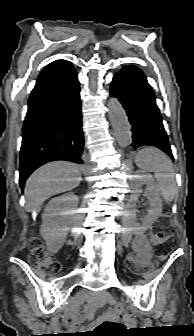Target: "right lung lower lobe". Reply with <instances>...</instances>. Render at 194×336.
Masks as SVG:
<instances>
[{"mask_svg": "<svg viewBox=\"0 0 194 336\" xmlns=\"http://www.w3.org/2000/svg\"><path fill=\"white\" fill-rule=\"evenodd\" d=\"M77 73L70 62L46 67L28 101L20 154V185L42 164H81L84 136Z\"/></svg>", "mask_w": 194, "mask_h": 336, "instance_id": "right-lung-lower-lobe-1", "label": "right lung lower lobe"}]
</instances>
